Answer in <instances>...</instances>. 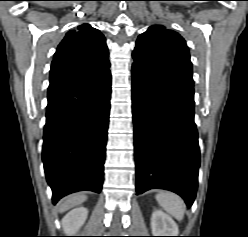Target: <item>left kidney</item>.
<instances>
[{
	"label": "left kidney",
	"instance_id": "left-kidney-1",
	"mask_svg": "<svg viewBox=\"0 0 248 237\" xmlns=\"http://www.w3.org/2000/svg\"><path fill=\"white\" fill-rule=\"evenodd\" d=\"M153 236H178L179 230L174 220L160 210H155L151 217Z\"/></svg>",
	"mask_w": 248,
	"mask_h": 237
}]
</instances>
